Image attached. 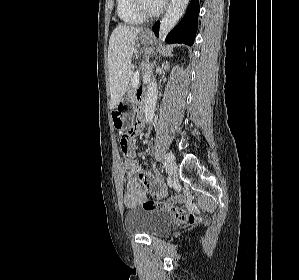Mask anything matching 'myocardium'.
I'll return each instance as SVG.
<instances>
[{"label":"myocardium","instance_id":"myocardium-1","mask_svg":"<svg viewBox=\"0 0 299 280\" xmlns=\"http://www.w3.org/2000/svg\"><path fill=\"white\" fill-rule=\"evenodd\" d=\"M133 3L136 12L143 18H155L159 16L165 9V3H162L159 8L154 11L148 10L144 5L143 0H133Z\"/></svg>","mask_w":299,"mask_h":280}]
</instances>
